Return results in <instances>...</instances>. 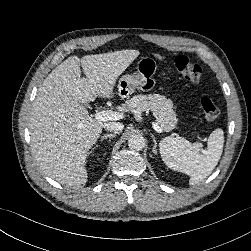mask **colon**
<instances>
[{
	"label": "colon",
	"mask_w": 251,
	"mask_h": 251,
	"mask_svg": "<svg viewBox=\"0 0 251 251\" xmlns=\"http://www.w3.org/2000/svg\"><path fill=\"white\" fill-rule=\"evenodd\" d=\"M174 66L177 71L187 80L196 82L202 77L203 70L201 66L185 55H177L174 58ZM200 104L206 120L213 121L219 117V108L210 98L203 97L200 101Z\"/></svg>",
	"instance_id": "5ec220e1"
}]
</instances>
